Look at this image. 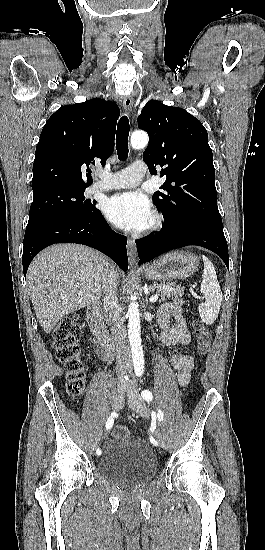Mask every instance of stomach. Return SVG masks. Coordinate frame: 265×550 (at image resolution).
<instances>
[{
    "instance_id": "obj_1",
    "label": "stomach",
    "mask_w": 265,
    "mask_h": 550,
    "mask_svg": "<svg viewBox=\"0 0 265 550\" xmlns=\"http://www.w3.org/2000/svg\"><path fill=\"white\" fill-rule=\"evenodd\" d=\"M196 255L185 251H173L159 257L144 269L143 275L148 279L167 281L190 277L198 268Z\"/></svg>"
}]
</instances>
